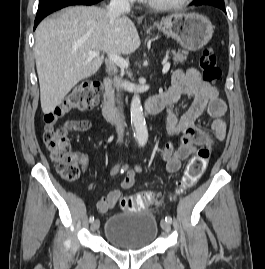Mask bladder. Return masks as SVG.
<instances>
[{"label": "bladder", "mask_w": 265, "mask_h": 269, "mask_svg": "<svg viewBox=\"0 0 265 269\" xmlns=\"http://www.w3.org/2000/svg\"><path fill=\"white\" fill-rule=\"evenodd\" d=\"M104 235L118 248H146L157 238L158 223L151 210L115 213L106 220Z\"/></svg>", "instance_id": "1"}]
</instances>
